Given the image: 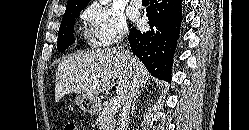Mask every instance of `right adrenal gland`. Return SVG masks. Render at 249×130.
<instances>
[{
	"label": "right adrenal gland",
	"instance_id": "right-adrenal-gland-1",
	"mask_svg": "<svg viewBox=\"0 0 249 130\" xmlns=\"http://www.w3.org/2000/svg\"><path fill=\"white\" fill-rule=\"evenodd\" d=\"M140 94H141V92L138 91L137 96H136V98H135V100L133 102V105H132V115L134 114L136 100L138 99V97L140 96Z\"/></svg>",
	"mask_w": 249,
	"mask_h": 130
}]
</instances>
